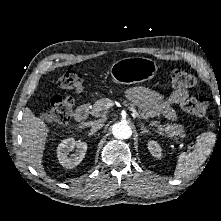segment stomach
<instances>
[{
    "instance_id": "0dacf381",
    "label": "stomach",
    "mask_w": 221,
    "mask_h": 221,
    "mask_svg": "<svg viewBox=\"0 0 221 221\" xmlns=\"http://www.w3.org/2000/svg\"><path fill=\"white\" fill-rule=\"evenodd\" d=\"M156 63L144 57H129L116 61L111 67L116 84H135L152 79L157 73Z\"/></svg>"
}]
</instances>
